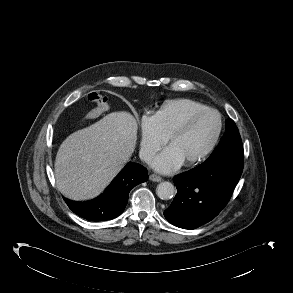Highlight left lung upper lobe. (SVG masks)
Listing matches in <instances>:
<instances>
[{"instance_id": "obj_1", "label": "left lung upper lobe", "mask_w": 293, "mask_h": 293, "mask_svg": "<svg viewBox=\"0 0 293 293\" xmlns=\"http://www.w3.org/2000/svg\"><path fill=\"white\" fill-rule=\"evenodd\" d=\"M226 133L223 135L219 145L215 148L211 156L204 163H213L221 155V150L226 147L234 148L236 146H242L241 137L238 131V128L234 121L229 118L225 121Z\"/></svg>"}]
</instances>
